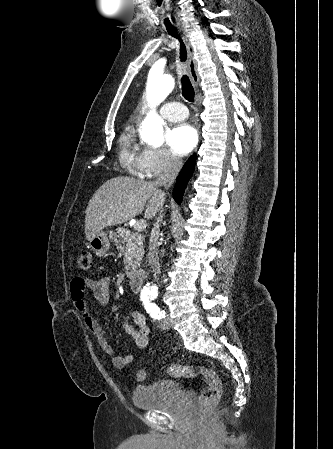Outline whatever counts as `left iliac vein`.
Returning <instances> with one entry per match:
<instances>
[{
	"mask_svg": "<svg viewBox=\"0 0 333 449\" xmlns=\"http://www.w3.org/2000/svg\"><path fill=\"white\" fill-rule=\"evenodd\" d=\"M160 327L162 329H168L169 328V319L168 318H164L161 323H160Z\"/></svg>",
	"mask_w": 333,
	"mask_h": 449,
	"instance_id": "4c4485c4",
	"label": "left iliac vein"
}]
</instances>
